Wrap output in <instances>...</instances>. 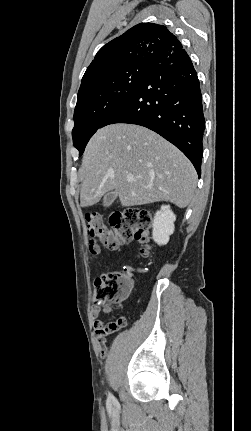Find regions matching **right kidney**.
<instances>
[{"label":"right kidney","mask_w":251,"mask_h":431,"mask_svg":"<svg viewBox=\"0 0 251 431\" xmlns=\"http://www.w3.org/2000/svg\"><path fill=\"white\" fill-rule=\"evenodd\" d=\"M175 214L169 205H162L161 209L156 212L152 221L153 239L159 245H165L169 241L170 235L174 232Z\"/></svg>","instance_id":"1"}]
</instances>
